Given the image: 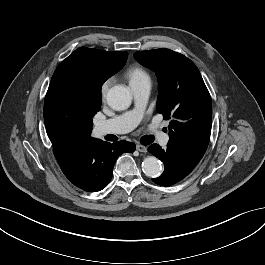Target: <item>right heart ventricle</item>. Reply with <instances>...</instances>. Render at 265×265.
Instances as JSON below:
<instances>
[{
  "label": "right heart ventricle",
  "mask_w": 265,
  "mask_h": 265,
  "mask_svg": "<svg viewBox=\"0 0 265 265\" xmlns=\"http://www.w3.org/2000/svg\"><path fill=\"white\" fill-rule=\"evenodd\" d=\"M126 77L129 80V83H136L143 81L145 79H150L149 74L139 66H132L126 71Z\"/></svg>",
  "instance_id": "obj_1"
}]
</instances>
